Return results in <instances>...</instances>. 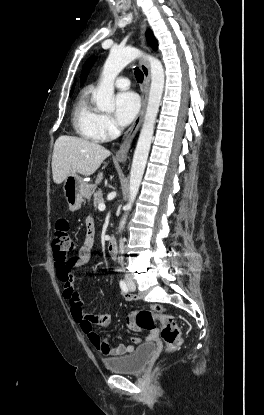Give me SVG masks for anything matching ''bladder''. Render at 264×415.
Masks as SVG:
<instances>
[{
	"label": "bladder",
	"mask_w": 264,
	"mask_h": 415,
	"mask_svg": "<svg viewBox=\"0 0 264 415\" xmlns=\"http://www.w3.org/2000/svg\"><path fill=\"white\" fill-rule=\"evenodd\" d=\"M156 351V343L148 342L138 346L131 354L105 359L103 364L109 372L134 374L142 371Z\"/></svg>",
	"instance_id": "bladder-1"
}]
</instances>
